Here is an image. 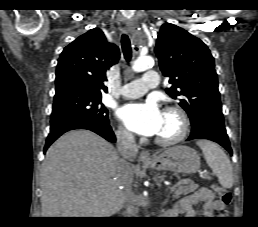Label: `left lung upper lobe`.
Segmentation results:
<instances>
[{"instance_id": "obj_1", "label": "left lung upper lobe", "mask_w": 258, "mask_h": 227, "mask_svg": "<svg viewBox=\"0 0 258 227\" xmlns=\"http://www.w3.org/2000/svg\"><path fill=\"white\" fill-rule=\"evenodd\" d=\"M155 53L164 76L173 84L166 92L188 113L192 127L210 114L223 115L214 58L208 47L184 29L165 23Z\"/></svg>"}]
</instances>
